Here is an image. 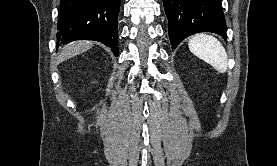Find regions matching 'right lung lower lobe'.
<instances>
[{
	"label": "right lung lower lobe",
	"instance_id": "obj_1",
	"mask_svg": "<svg viewBox=\"0 0 277 166\" xmlns=\"http://www.w3.org/2000/svg\"><path fill=\"white\" fill-rule=\"evenodd\" d=\"M60 6L57 44L79 39L96 40L118 56L120 0H61Z\"/></svg>",
	"mask_w": 277,
	"mask_h": 166
}]
</instances>
